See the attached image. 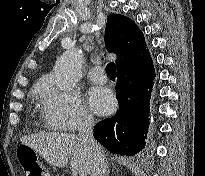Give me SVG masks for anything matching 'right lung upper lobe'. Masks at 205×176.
Segmentation results:
<instances>
[{
  "label": "right lung upper lobe",
  "instance_id": "right-lung-upper-lobe-1",
  "mask_svg": "<svg viewBox=\"0 0 205 176\" xmlns=\"http://www.w3.org/2000/svg\"><path fill=\"white\" fill-rule=\"evenodd\" d=\"M105 44L109 51L118 54L117 69L148 51L142 31L131 19L119 14H111L107 19Z\"/></svg>",
  "mask_w": 205,
  "mask_h": 176
}]
</instances>
